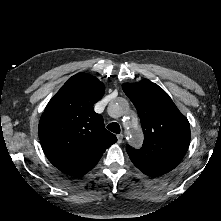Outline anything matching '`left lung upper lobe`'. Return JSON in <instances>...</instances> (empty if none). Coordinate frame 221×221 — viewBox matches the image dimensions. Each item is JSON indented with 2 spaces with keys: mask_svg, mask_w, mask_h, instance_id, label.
<instances>
[{
  "mask_svg": "<svg viewBox=\"0 0 221 221\" xmlns=\"http://www.w3.org/2000/svg\"><path fill=\"white\" fill-rule=\"evenodd\" d=\"M122 88L137 109L144 133L140 150L126 147L131 161L151 177L168 173L180 163L188 149L190 126L187 118L169 95L148 79L124 83Z\"/></svg>",
  "mask_w": 221,
  "mask_h": 221,
  "instance_id": "1",
  "label": "left lung upper lobe"
}]
</instances>
